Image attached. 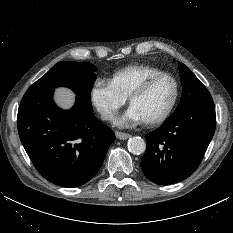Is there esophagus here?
<instances>
[{"mask_svg":"<svg viewBox=\"0 0 233 233\" xmlns=\"http://www.w3.org/2000/svg\"><path fill=\"white\" fill-rule=\"evenodd\" d=\"M115 135H116V137H117L118 139H121V140H126V139H128V138L131 137L130 134L124 133V132H120V131H116V132H115Z\"/></svg>","mask_w":233,"mask_h":233,"instance_id":"obj_1","label":"esophagus"}]
</instances>
